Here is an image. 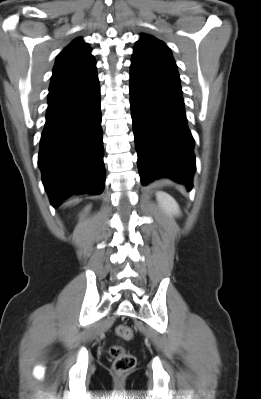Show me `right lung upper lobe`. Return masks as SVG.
Returning <instances> with one entry per match:
<instances>
[{
	"label": "right lung upper lobe",
	"instance_id": "1",
	"mask_svg": "<svg viewBox=\"0 0 261 399\" xmlns=\"http://www.w3.org/2000/svg\"><path fill=\"white\" fill-rule=\"evenodd\" d=\"M95 72L96 63L91 48L82 38H77L57 56L49 90L82 81Z\"/></svg>",
	"mask_w": 261,
	"mask_h": 399
}]
</instances>
